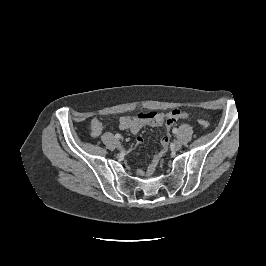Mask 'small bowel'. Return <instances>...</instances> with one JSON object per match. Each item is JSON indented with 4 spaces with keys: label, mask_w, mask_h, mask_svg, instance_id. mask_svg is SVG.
<instances>
[{
    "label": "small bowel",
    "mask_w": 266,
    "mask_h": 266,
    "mask_svg": "<svg viewBox=\"0 0 266 266\" xmlns=\"http://www.w3.org/2000/svg\"><path fill=\"white\" fill-rule=\"evenodd\" d=\"M188 114L180 109H173L168 113L164 114L158 111H149V112H140L135 116H124L119 120V128L121 130H128L133 134H136L140 131L143 126H157L163 128L165 131L164 137L161 139V145L163 149H166L169 145V131L171 127L179 120L186 119ZM91 135L93 137H98L103 131L102 122L94 118L90 124ZM137 142L141 143L142 139L137 138ZM163 153H159L154 156L148 171L152 172L162 156Z\"/></svg>",
    "instance_id": "small-bowel-1"
}]
</instances>
